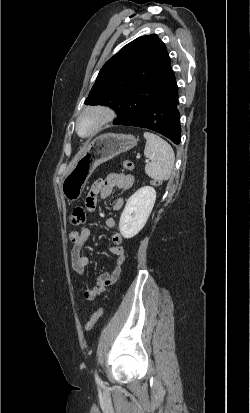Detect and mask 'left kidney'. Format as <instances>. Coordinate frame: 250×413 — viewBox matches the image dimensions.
Returning <instances> with one entry per match:
<instances>
[{
	"label": "left kidney",
	"mask_w": 250,
	"mask_h": 413,
	"mask_svg": "<svg viewBox=\"0 0 250 413\" xmlns=\"http://www.w3.org/2000/svg\"><path fill=\"white\" fill-rule=\"evenodd\" d=\"M155 200L156 191L151 186H144L130 196L119 222L120 233L124 238L134 237L145 226Z\"/></svg>",
	"instance_id": "left-kidney-1"
}]
</instances>
